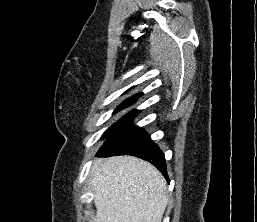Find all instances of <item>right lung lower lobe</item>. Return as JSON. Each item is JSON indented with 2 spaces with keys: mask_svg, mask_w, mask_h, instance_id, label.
<instances>
[{
  "mask_svg": "<svg viewBox=\"0 0 257 222\" xmlns=\"http://www.w3.org/2000/svg\"><path fill=\"white\" fill-rule=\"evenodd\" d=\"M114 155H132L144 159L160 170L169 182L163 152L158 149L150 136L139 128L128 132L108 145L102 146L97 152V156L102 157Z\"/></svg>",
  "mask_w": 257,
  "mask_h": 222,
  "instance_id": "right-lung-lower-lobe-1",
  "label": "right lung lower lobe"
}]
</instances>
